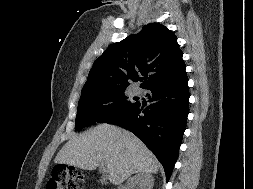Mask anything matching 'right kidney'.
Instances as JSON below:
<instances>
[{
	"mask_svg": "<svg viewBox=\"0 0 253 189\" xmlns=\"http://www.w3.org/2000/svg\"><path fill=\"white\" fill-rule=\"evenodd\" d=\"M154 184V179L152 175L148 173L137 174L127 181V185L120 189H133L138 186L139 189H152Z\"/></svg>",
	"mask_w": 253,
	"mask_h": 189,
	"instance_id": "obj_1",
	"label": "right kidney"
}]
</instances>
